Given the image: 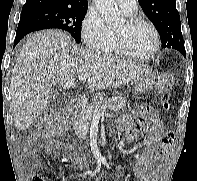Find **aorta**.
Wrapping results in <instances>:
<instances>
[{"instance_id":"obj_1","label":"aorta","mask_w":197,"mask_h":181,"mask_svg":"<svg viewBox=\"0 0 197 181\" xmlns=\"http://www.w3.org/2000/svg\"><path fill=\"white\" fill-rule=\"evenodd\" d=\"M95 6L107 23L118 24L122 21L115 0H94Z\"/></svg>"}]
</instances>
